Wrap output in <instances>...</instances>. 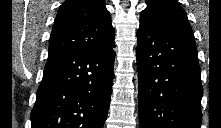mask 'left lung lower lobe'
<instances>
[{
	"mask_svg": "<svg viewBox=\"0 0 221 128\" xmlns=\"http://www.w3.org/2000/svg\"><path fill=\"white\" fill-rule=\"evenodd\" d=\"M140 128H200L195 41L146 21L137 31Z\"/></svg>",
	"mask_w": 221,
	"mask_h": 128,
	"instance_id": "left-lung-lower-lobe-1",
	"label": "left lung lower lobe"
}]
</instances>
